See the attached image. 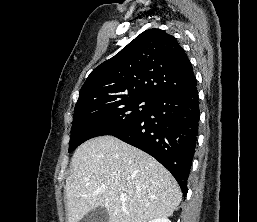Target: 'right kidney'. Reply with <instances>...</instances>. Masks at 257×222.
<instances>
[{
	"label": "right kidney",
	"mask_w": 257,
	"mask_h": 222,
	"mask_svg": "<svg viewBox=\"0 0 257 222\" xmlns=\"http://www.w3.org/2000/svg\"><path fill=\"white\" fill-rule=\"evenodd\" d=\"M149 222H171L168 218H158V219H153Z\"/></svg>",
	"instance_id": "1"
}]
</instances>
